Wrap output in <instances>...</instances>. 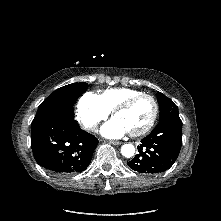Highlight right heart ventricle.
Masks as SVG:
<instances>
[{
  "instance_id": "e07e8e85",
  "label": "right heart ventricle",
  "mask_w": 221,
  "mask_h": 221,
  "mask_svg": "<svg viewBox=\"0 0 221 221\" xmlns=\"http://www.w3.org/2000/svg\"><path fill=\"white\" fill-rule=\"evenodd\" d=\"M140 93L142 92L136 89L119 87V88L107 89L99 96L101 97L107 109L109 111H112L113 109L116 108L117 105H119L126 99Z\"/></svg>"
}]
</instances>
